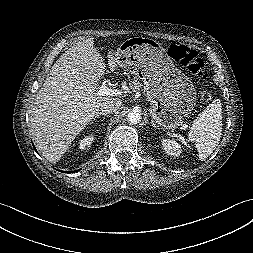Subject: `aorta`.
<instances>
[{
  "mask_svg": "<svg viewBox=\"0 0 253 253\" xmlns=\"http://www.w3.org/2000/svg\"><path fill=\"white\" fill-rule=\"evenodd\" d=\"M128 122L131 124H137L141 120V115L137 111H131L127 115Z\"/></svg>",
  "mask_w": 253,
  "mask_h": 253,
  "instance_id": "1",
  "label": "aorta"
}]
</instances>
